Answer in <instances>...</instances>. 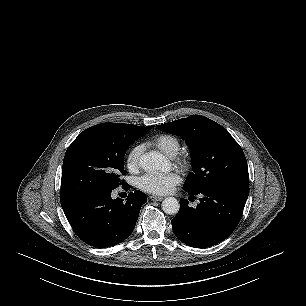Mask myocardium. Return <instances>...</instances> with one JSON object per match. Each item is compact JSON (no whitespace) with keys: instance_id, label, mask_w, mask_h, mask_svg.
<instances>
[{"instance_id":"f54148a6","label":"myocardium","mask_w":306,"mask_h":306,"mask_svg":"<svg viewBox=\"0 0 306 306\" xmlns=\"http://www.w3.org/2000/svg\"><path fill=\"white\" fill-rule=\"evenodd\" d=\"M174 158L176 166L182 171H187L191 166V158L186 153H180Z\"/></svg>"}]
</instances>
